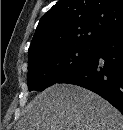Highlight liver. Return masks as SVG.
<instances>
[{
	"label": "liver",
	"instance_id": "obj_1",
	"mask_svg": "<svg viewBox=\"0 0 123 130\" xmlns=\"http://www.w3.org/2000/svg\"><path fill=\"white\" fill-rule=\"evenodd\" d=\"M18 127L20 130H123V115L87 89L57 83L26 106Z\"/></svg>",
	"mask_w": 123,
	"mask_h": 130
}]
</instances>
